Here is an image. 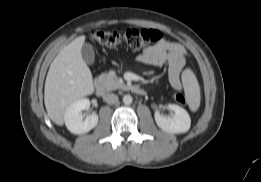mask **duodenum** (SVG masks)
Instances as JSON below:
<instances>
[{
	"mask_svg": "<svg viewBox=\"0 0 261 182\" xmlns=\"http://www.w3.org/2000/svg\"><path fill=\"white\" fill-rule=\"evenodd\" d=\"M130 90H131L133 93H135V94H137V95H141V96H142V95H145V93H146V91H145L143 88H141V87H139V86H135V85H132V86L130 87ZM95 91H96V94L99 95V96H102V95L105 94L106 89H105V85L103 84V82L98 81V82L96 83Z\"/></svg>",
	"mask_w": 261,
	"mask_h": 182,
	"instance_id": "obj_1",
	"label": "duodenum"
}]
</instances>
